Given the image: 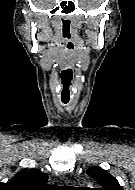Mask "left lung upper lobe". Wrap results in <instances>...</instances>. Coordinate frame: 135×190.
<instances>
[{
    "label": "left lung upper lobe",
    "mask_w": 135,
    "mask_h": 190,
    "mask_svg": "<svg viewBox=\"0 0 135 190\" xmlns=\"http://www.w3.org/2000/svg\"><path fill=\"white\" fill-rule=\"evenodd\" d=\"M88 174L95 179L103 188L99 190H123L115 177L100 167H91Z\"/></svg>",
    "instance_id": "left-lung-upper-lobe-1"
}]
</instances>
